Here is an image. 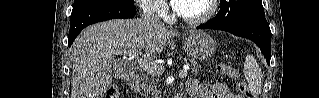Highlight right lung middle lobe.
Listing matches in <instances>:
<instances>
[{
    "instance_id": "obj_1",
    "label": "right lung middle lobe",
    "mask_w": 319,
    "mask_h": 98,
    "mask_svg": "<svg viewBox=\"0 0 319 98\" xmlns=\"http://www.w3.org/2000/svg\"><path fill=\"white\" fill-rule=\"evenodd\" d=\"M90 2H118L125 5L134 6V0H75L74 6Z\"/></svg>"
}]
</instances>
